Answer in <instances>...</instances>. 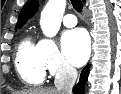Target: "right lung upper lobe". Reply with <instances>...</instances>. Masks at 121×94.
Returning <instances> with one entry per match:
<instances>
[{
  "mask_svg": "<svg viewBox=\"0 0 121 94\" xmlns=\"http://www.w3.org/2000/svg\"><path fill=\"white\" fill-rule=\"evenodd\" d=\"M85 2V0H83ZM39 4L37 0H30L19 13L17 27H22L26 21L31 18L38 10Z\"/></svg>",
  "mask_w": 121,
  "mask_h": 94,
  "instance_id": "cb5924a9",
  "label": "right lung upper lobe"
}]
</instances>
